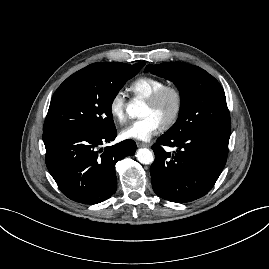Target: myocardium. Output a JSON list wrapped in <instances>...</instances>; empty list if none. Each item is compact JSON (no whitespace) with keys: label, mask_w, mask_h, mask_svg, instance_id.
Returning <instances> with one entry per match:
<instances>
[{"label":"myocardium","mask_w":269,"mask_h":269,"mask_svg":"<svg viewBox=\"0 0 269 269\" xmlns=\"http://www.w3.org/2000/svg\"><path fill=\"white\" fill-rule=\"evenodd\" d=\"M171 94L174 97L175 105L171 115L162 123L164 129L172 127L179 119L184 105V95L181 88L174 84L163 85L150 96L145 98V102L150 106H156L162 98Z\"/></svg>","instance_id":"obj_1"}]
</instances>
